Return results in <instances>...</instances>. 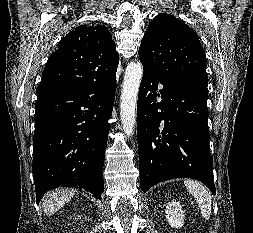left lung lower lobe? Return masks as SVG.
<instances>
[{"label":"left lung lower lobe","instance_id":"0a47b994","mask_svg":"<svg viewBox=\"0 0 253 233\" xmlns=\"http://www.w3.org/2000/svg\"><path fill=\"white\" fill-rule=\"evenodd\" d=\"M143 68L137 104L142 191L162 181L185 177L203 182L215 194L207 85L189 82L174 86L144 64ZM158 84L163 85L159 92Z\"/></svg>","mask_w":253,"mask_h":233}]
</instances>
